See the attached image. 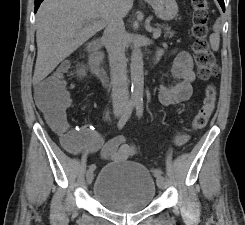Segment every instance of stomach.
<instances>
[{"label": "stomach", "mask_w": 245, "mask_h": 225, "mask_svg": "<svg viewBox=\"0 0 245 225\" xmlns=\"http://www.w3.org/2000/svg\"><path fill=\"white\" fill-rule=\"evenodd\" d=\"M152 6L158 18L164 21L174 19L178 13V5L175 0H145Z\"/></svg>", "instance_id": "stomach-1"}]
</instances>
